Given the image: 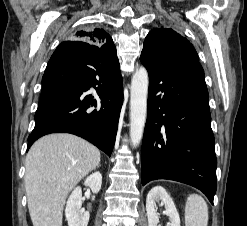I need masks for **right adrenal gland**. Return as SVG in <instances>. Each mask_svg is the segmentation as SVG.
<instances>
[{
  "instance_id": "1",
  "label": "right adrenal gland",
  "mask_w": 247,
  "mask_h": 226,
  "mask_svg": "<svg viewBox=\"0 0 247 226\" xmlns=\"http://www.w3.org/2000/svg\"><path fill=\"white\" fill-rule=\"evenodd\" d=\"M101 165L99 164L97 167L99 168Z\"/></svg>"
}]
</instances>
